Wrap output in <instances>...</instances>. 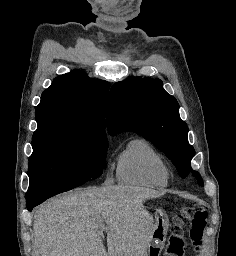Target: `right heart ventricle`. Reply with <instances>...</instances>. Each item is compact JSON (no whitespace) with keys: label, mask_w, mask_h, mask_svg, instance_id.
<instances>
[{"label":"right heart ventricle","mask_w":236,"mask_h":256,"mask_svg":"<svg viewBox=\"0 0 236 256\" xmlns=\"http://www.w3.org/2000/svg\"><path fill=\"white\" fill-rule=\"evenodd\" d=\"M118 181L124 185L163 188L169 185L171 171L166 159L143 139H134L121 154Z\"/></svg>","instance_id":"e07e8e85"}]
</instances>
